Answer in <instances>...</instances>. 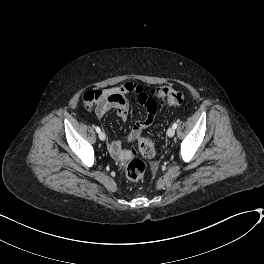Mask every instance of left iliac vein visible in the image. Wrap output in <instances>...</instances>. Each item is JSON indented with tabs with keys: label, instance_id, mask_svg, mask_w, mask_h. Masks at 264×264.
Segmentation results:
<instances>
[{
	"label": "left iliac vein",
	"instance_id": "4c4485c4",
	"mask_svg": "<svg viewBox=\"0 0 264 264\" xmlns=\"http://www.w3.org/2000/svg\"><path fill=\"white\" fill-rule=\"evenodd\" d=\"M167 135L169 137H173L175 135V128L173 127H170L168 130H167Z\"/></svg>",
	"mask_w": 264,
	"mask_h": 264
}]
</instances>
